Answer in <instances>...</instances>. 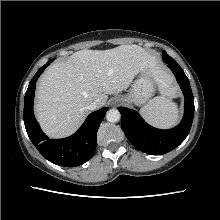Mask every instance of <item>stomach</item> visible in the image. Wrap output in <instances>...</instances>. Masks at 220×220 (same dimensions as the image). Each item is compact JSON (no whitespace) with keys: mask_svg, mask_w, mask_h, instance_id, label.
<instances>
[{"mask_svg":"<svg viewBox=\"0 0 220 220\" xmlns=\"http://www.w3.org/2000/svg\"><path fill=\"white\" fill-rule=\"evenodd\" d=\"M155 90L156 86L152 72L144 71L133 82L127 93L120 97L124 103L143 106L154 95Z\"/></svg>","mask_w":220,"mask_h":220,"instance_id":"obj_1","label":"stomach"}]
</instances>
